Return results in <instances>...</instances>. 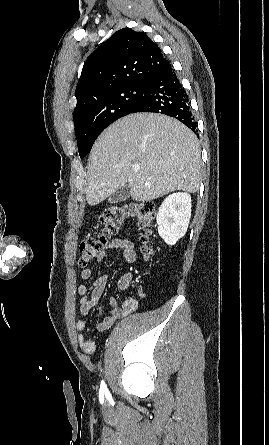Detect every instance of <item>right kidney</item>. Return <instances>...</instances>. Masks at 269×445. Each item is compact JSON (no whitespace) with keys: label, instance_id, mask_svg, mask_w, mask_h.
I'll return each mask as SVG.
<instances>
[{"label":"right kidney","instance_id":"obj_1","mask_svg":"<svg viewBox=\"0 0 269 445\" xmlns=\"http://www.w3.org/2000/svg\"><path fill=\"white\" fill-rule=\"evenodd\" d=\"M191 217V196L187 193H173L162 202L157 224L160 237L169 245L182 238Z\"/></svg>","mask_w":269,"mask_h":445}]
</instances>
